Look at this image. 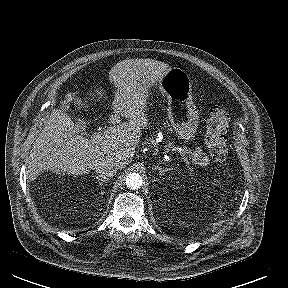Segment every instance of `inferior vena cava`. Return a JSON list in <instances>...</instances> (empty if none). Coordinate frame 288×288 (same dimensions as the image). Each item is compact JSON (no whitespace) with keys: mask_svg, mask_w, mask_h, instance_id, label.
<instances>
[{"mask_svg":"<svg viewBox=\"0 0 288 288\" xmlns=\"http://www.w3.org/2000/svg\"><path fill=\"white\" fill-rule=\"evenodd\" d=\"M94 169L101 178L109 179L116 174L118 165L113 159H103L96 162Z\"/></svg>","mask_w":288,"mask_h":288,"instance_id":"1","label":"inferior vena cava"}]
</instances>
